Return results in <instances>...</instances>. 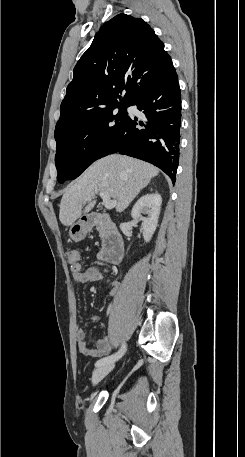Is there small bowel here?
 Instances as JSON below:
<instances>
[{"label":"small bowel","instance_id":"1","mask_svg":"<svg viewBox=\"0 0 245 457\" xmlns=\"http://www.w3.org/2000/svg\"><path fill=\"white\" fill-rule=\"evenodd\" d=\"M73 279L77 283H88V282H96L102 279V273L97 267H90L86 270H77L72 269L71 271ZM119 288V282L114 281L110 285V289L108 291L109 295L115 294V292ZM95 321H98L97 317L93 318ZM76 344L78 350L81 354L89 357H101L107 355L111 351H113L118 344L116 336L112 334V332L108 333L104 338L97 341L96 346L91 348L88 346L86 341V333L82 328H77L75 332Z\"/></svg>","mask_w":245,"mask_h":457}]
</instances>
